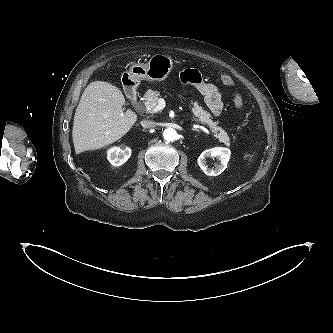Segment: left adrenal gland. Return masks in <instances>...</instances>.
<instances>
[{"mask_svg": "<svg viewBox=\"0 0 333 333\" xmlns=\"http://www.w3.org/2000/svg\"><path fill=\"white\" fill-rule=\"evenodd\" d=\"M193 131H197V132H200L198 129L196 128H192Z\"/></svg>", "mask_w": 333, "mask_h": 333, "instance_id": "a2214340", "label": "left adrenal gland"}]
</instances>
